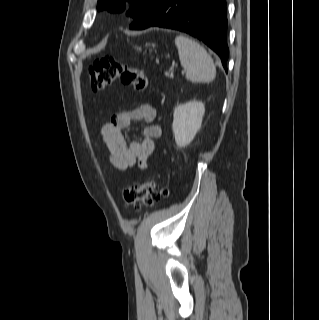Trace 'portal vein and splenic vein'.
<instances>
[{"label":"portal vein and splenic vein","mask_w":319,"mask_h":320,"mask_svg":"<svg viewBox=\"0 0 319 320\" xmlns=\"http://www.w3.org/2000/svg\"><path fill=\"white\" fill-rule=\"evenodd\" d=\"M166 75L169 76L170 78L174 77L173 72L167 73Z\"/></svg>","instance_id":"portal-vein-and-splenic-vein-1"}]
</instances>
